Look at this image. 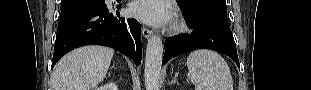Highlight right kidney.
<instances>
[{
    "instance_id": "ca27d5eb",
    "label": "right kidney",
    "mask_w": 311,
    "mask_h": 90,
    "mask_svg": "<svg viewBox=\"0 0 311 90\" xmlns=\"http://www.w3.org/2000/svg\"><path fill=\"white\" fill-rule=\"evenodd\" d=\"M97 90H103V88H98Z\"/></svg>"
}]
</instances>
